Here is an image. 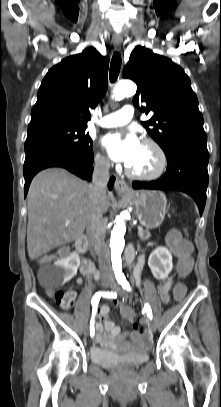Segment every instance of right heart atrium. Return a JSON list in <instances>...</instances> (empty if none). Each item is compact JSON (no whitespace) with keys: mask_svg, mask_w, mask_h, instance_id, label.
Masks as SVG:
<instances>
[{"mask_svg":"<svg viewBox=\"0 0 221 407\" xmlns=\"http://www.w3.org/2000/svg\"><path fill=\"white\" fill-rule=\"evenodd\" d=\"M95 164L101 170H108L110 168V162L99 153L95 157Z\"/></svg>","mask_w":221,"mask_h":407,"instance_id":"right-heart-atrium-1","label":"right heart atrium"}]
</instances>
